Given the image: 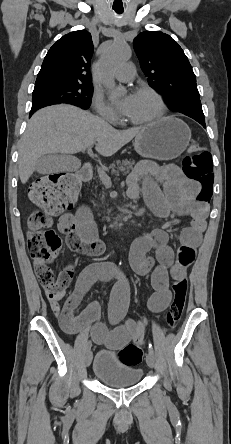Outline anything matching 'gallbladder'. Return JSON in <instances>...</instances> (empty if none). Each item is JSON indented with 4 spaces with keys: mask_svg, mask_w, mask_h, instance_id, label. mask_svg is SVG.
I'll list each match as a JSON object with an SVG mask.
<instances>
[{
    "mask_svg": "<svg viewBox=\"0 0 231 444\" xmlns=\"http://www.w3.org/2000/svg\"><path fill=\"white\" fill-rule=\"evenodd\" d=\"M67 158L65 155L58 154L43 155L36 162V170L40 174L64 171L66 167L62 165V162Z\"/></svg>",
    "mask_w": 231,
    "mask_h": 444,
    "instance_id": "obj_1",
    "label": "gallbladder"
}]
</instances>
